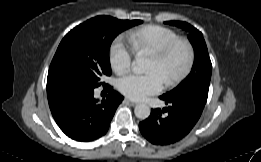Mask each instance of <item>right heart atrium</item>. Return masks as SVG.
<instances>
[{
  "label": "right heart atrium",
  "mask_w": 261,
  "mask_h": 162,
  "mask_svg": "<svg viewBox=\"0 0 261 162\" xmlns=\"http://www.w3.org/2000/svg\"><path fill=\"white\" fill-rule=\"evenodd\" d=\"M109 62L117 74L126 72L132 64V56L122 40L115 41L109 51Z\"/></svg>",
  "instance_id": "right-heart-atrium-1"
}]
</instances>
